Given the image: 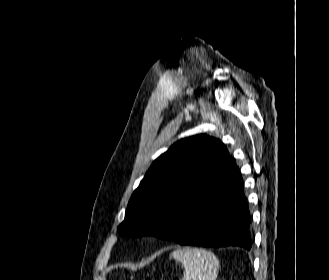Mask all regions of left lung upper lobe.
Segmentation results:
<instances>
[{"label":"left lung upper lobe","mask_w":329,"mask_h":280,"mask_svg":"<svg viewBox=\"0 0 329 280\" xmlns=\"http://www.w3.org/2000/svg\"><path fill=\"white\" fill-rule=\"evenodd\" d=\"M232 162L216 138L196 135L176 142L154 161L134 191L118 233L161 238L202 195L219 189Z\"/></svg>","instance_id":"left-lung-upper-lobe-1"}]
</instances>
